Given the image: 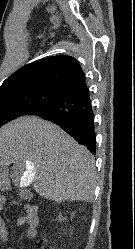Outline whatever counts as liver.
Instances as JSON below:
<instances>
[{"mask_svg":"<svg viewBox=\"0 0 135 249\" xmlns=\"http://www.w3.org/2000/svg\"><path fill=\"white\" fill-rule=\"evenodd\" d=\"M30 162L35 191L55 202L94 200V157L59 126L37 116H23L0 128V167Z\"/></svg>","mask_w":135,"mask_h":249,"instance_id":"obj_1","label":"liver"}]
</instances>
